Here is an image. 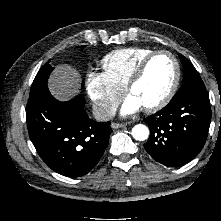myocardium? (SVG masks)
Wrapping results in <instances>:
<instances>
[{"label":"myocardium","mask_w":221,"mask_h":221,"mask_svg":"<svg viewBox=\"0 0 221 221\" xmlns=\"http://www.w3.org/2000/svg\"><path fill=\"white\" fill-rule=\"evenodd\" d=\"M161 54H166L172 59L174 66H175V74H174L172 84L170 88L168 89V91L166 92V94L156 103L143 107L144 110L147 112H154V111H158L162 109L171 101V99L175 95L177 88L179 86V83H180V78H181V66L177 57L169 50L160 49V50L153 51L152 53H150L149 55H147L145 58H143L140 61V63L135 68L132 76L130 77L125 87V92L127 94H130L133 87L143 78L150 62L156 56L161 55Z\"/></svg>","instance_id":"obj_1"}]
</instances>
